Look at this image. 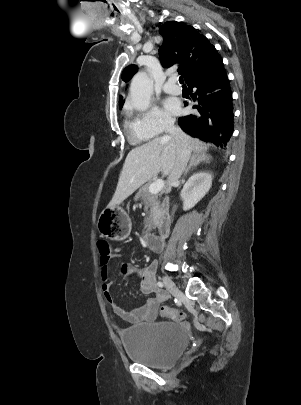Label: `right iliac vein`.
<instances>
[{"label": "right iliac vein", "instance_id": "right-iliac-vein-1", "mask_svg": "<svg viewBox=\"0 0 301 405\" xmlns=\"http://www.w3.org/2000/svg\"><path fill=\"white\" fill-rule=\"evenodd\" d=\"M166 288L168 291L175 297H178L180 295V290L176 287L174 282L166 275L163 276L162 278Z\"/></svg>", "mask_w": 301, "mask_h": 405}]
</instances>
